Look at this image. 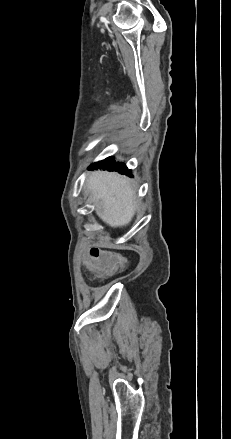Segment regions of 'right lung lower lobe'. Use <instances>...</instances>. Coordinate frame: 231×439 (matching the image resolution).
I'll return each instance as SVG.
<instances>
[{
  "instance_id": "right-lung-lower-lobe-1",
  "label": "right lung lower lobe",
  "mask_w": 231,
  "mask_h": 439,
  "mask_svg": "<svg viewBox=\"0 0 231 439\" xmlns=\"http://www.w3.org/2000/svg\"><path fill=\"white\" fill-rule=\"evenodd\" d=\"M107 169L110 171H118L121 174L131 176V170H128L124 163L114 162L112 157H108L100 162L94 163L89 169Z\"/></svg>"
}]
</instances>
